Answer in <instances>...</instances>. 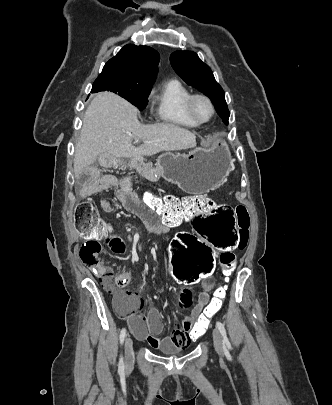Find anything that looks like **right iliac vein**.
<instances>
[{"label":"right iliac vein","instance_id":"63e3f726","mask_svg":"<svg viewBox=\"0 0 332 405\" xmlns=\"http://www.w3.org/2000/svg\"><path fill=\"white\" fill-rule=\"evenodd\" d=\"M124 348L126 364L129 367L134 362L133 341L130 337L126 338Z\"/></svg>","mask_w":332,"mask_h":405}]
</instances>
